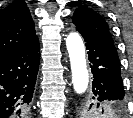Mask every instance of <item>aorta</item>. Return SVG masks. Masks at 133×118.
<instances>
[{"label": "aorta", "instance_id": "1", "mask_svg": "<svg viewBox=\"0 0 133 118\" xmlns=\"http://www.w3.org/2000/svg\"><path fill=\"white\" fill-rule=\"evenodd\" d=\"M66 46L70 58L73 88L77 94H83L88 88L89 73L81 36L76 32H71L67 36Z\"/></svg>", "mask_w": 133, "mask_h": 118}]
</instances>
